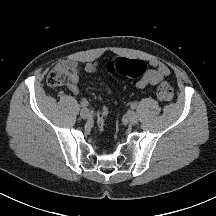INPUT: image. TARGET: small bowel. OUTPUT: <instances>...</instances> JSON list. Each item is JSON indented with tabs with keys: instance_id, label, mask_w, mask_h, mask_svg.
<instances>
[{
	"instance_id": "obj_1",
	"label": "small bowel",
	"mask_w": 216,
	"mask_h": 216,
	"mask_svg": "<svg viewBox=\"0 0 216 216\" xmlns=\"http://www.w3.org/2000/svg\"><path fill=\"white\" fill-rule=\"evenodd\" d=\"M62 64H64L68 71L69 81L67 83L68 90L74 94H79L78 83L81 77V68L77 62L73 60H66ZM148 65L151 69H148L144 72V74L137 80L136 87L139 89H144L149 86H156L160 82H162L166 77L170 75L169 67L162 61L158 59H150L148 61ZM99 69L98 62H87L84 66V70L87 73H96ZM106 91L111 93V90L108 86H105Z\"/></svg>"
}]
</instances>
